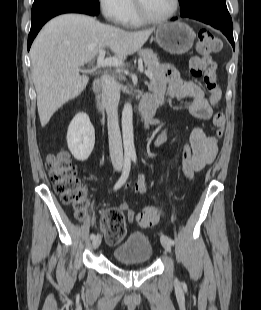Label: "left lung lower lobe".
Instances as JSON below:
<instances>
[{
	"label": "left lung lower lobe",
	"mask_w": 261,
	"mask_h": 310,
	"mask_svg": "<svg viewBox=\"0 0 261 310\" xmlns=\"http://www.w3.org/2000/svg\"><path fill=\"white\" fill-rule=\"evenodd\" d=\"M187 17L201 21L205 24L211 25L216 29L221 30L230 41L233 48L235 47L233 39L232 19L227 10L225 0L216 1L206 7L204 10ZM172 20H176V18H173Z\"/></svg>",
	"instance_id": "1"
}]
</instances>
